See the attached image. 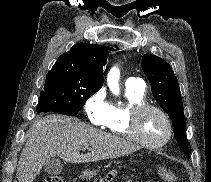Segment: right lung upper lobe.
<instances>
[{
    "label": "right lung upper lobe",
    "mask_w": 211,
    "mask_h": 182,
    "mask_svg": "<svg viewBox=\"0 0 211 182\" xmlns=\"http://www.w3.org/2000/svg\"><path fill=\"white\" fill-rule=\"evenodd\" d=\"M108 50L100 45L77 43L63 53L50 71H61L80 81L103 85V66L107 63Z\"/></svg>",
    "instance_id": "obj_1"
}]
</instances>
